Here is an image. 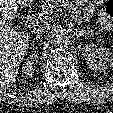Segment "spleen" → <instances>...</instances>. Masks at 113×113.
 I'll return each mask as SVG.
<instances>
[{"label": "spleen", "instance_id": "1", "mask_svg": "<svg viewBox=\"0 0 113 113\" xmlns=\"http://www.w3.org/2000/svg\"><path fill=\"white\" fill-rule=\"evenodd\" d=\"M110 67H111L112 70H113V55H112V57L110 58Z\"/></svg>", "mask_w": 113, "mask_h": 113}]
</instances>
